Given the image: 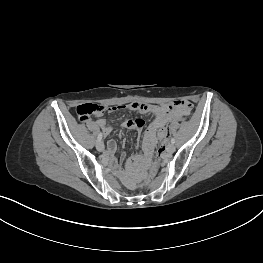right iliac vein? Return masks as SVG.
<instances>
[{
	"label": "right iliac vein",
	"instance_id": "63e3f726",
	"mask_svg": "<svg viewBox=\"0 0 263 263\" xmlns=\"http://www.w3.org/2000/svg\"><path fill=\"white\" fill-rule=\"evenodd\" d=\"M96 149L100 152L104 150V144L101 140L96 142Z\"/></svg>",
	"mask_w": 263,
	"mask_h": 263
}]
</instances>
